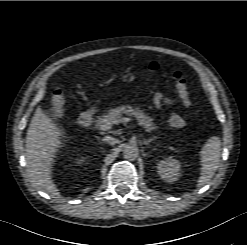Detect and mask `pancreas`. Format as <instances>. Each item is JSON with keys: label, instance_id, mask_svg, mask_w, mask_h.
<instances>
[{"label": "pancreas", "instance_id": "cf45deb5", "mask_svg": "<svg viewBox=\"0 0 247 245\" xmlns=\"http://www.w3.org/2000/svg\"><path fill=\"white\" fill-rule=\"evenodd\" d=\"M124 115L135 117L139 124L143 126L147 132H156L158 126L154 124L153 118L149 117L147 113L141 110L139 107H133L130 105H122L108 110L101 116L97 117L96 126L101 127L105 121H110L113 124H118Z\"/></svg>", "mask_w": 247, "mask_h": 245}]
</instances>
